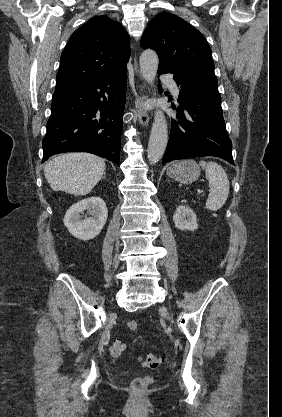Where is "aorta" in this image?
<instances>
[{"label":"aorta","instance_id":"762f6f07","mask_svg":"<svg viewBox=\"0 0 282 417\" xmlns=\"http://www.w3.org/2000/svg\"><path fill=\"white\" fill-rule=\"evenodd\" d=\"M140 70L148 84H153L158 70L159 58L155 50L146 48L140 56ZM168 140V126L163 110H155L154 122L148 142V158L152 164L162 158Z\"/></svg>","mask_w":282,"mask_h":417}]
</instances>
